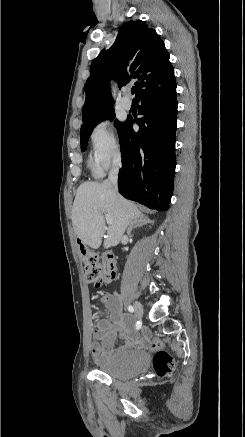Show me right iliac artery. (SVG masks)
Listing matches in <instances>:
<instances>
[{
  "label": "right iliac artery",
  "instance_id": "1",
  "mask_svg": "<svg viewBox=\"0 0 245 437\" xmlns=\"http://www.w3.org/2000/svg\"><path fill=\"white\" fill-rule=\"evenodd\" d=\"M128 311L131 312V313H133V312H134V308H133V306L129 305V306H128Z\"/></svg>",
  "mask_w": 245,
  "mask_h": 437
}]
</instances>
